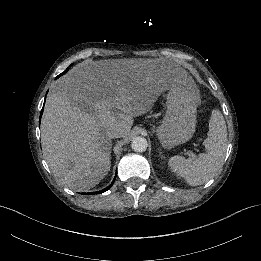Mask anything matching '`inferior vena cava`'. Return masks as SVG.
Wrapping results in <instances>:
<instances>
[{"instance_id":"602c4592","label":"inferior vena cava","mask_w":261,"mask_h":261,"mask_svg":"<svg viewBox=\"0 0 261 261\" xmlns=\"http://www.w3.org/2000/svg\"><path fill=\"white\" fill-rule=\"evenodd\" d=\"M121 136H122L121 131L118 128H113L108 131V137L110 138H117Z\"/></svg>"}]
</instances>
